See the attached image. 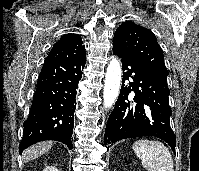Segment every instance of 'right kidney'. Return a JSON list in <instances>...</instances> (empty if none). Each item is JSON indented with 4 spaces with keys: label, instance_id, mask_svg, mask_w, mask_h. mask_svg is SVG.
<instances>
[{
    "label": "right kidney",
    "instance_id": "right-kidney-1",
    "mask_svg": "<svg viewBox=\"0 0 199 171\" xmlns=\"http://www.w3.org/2000/svg\"><path fill=\"white\" fill-rule=\"evenodd\" d=\"M43 171H59V170L53 166H47L46 168H44Z\"/></svg>",
    "mask_w": 199,
    "mask_h": 171
}]
</instances>
